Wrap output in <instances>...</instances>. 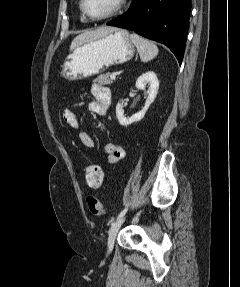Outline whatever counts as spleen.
I'll return each mask as SVG.
<instances>
[{
    "label": "spleen",
    "instance_id": "3e777b00",
    "mask_svg": "<svg viewBox=\"0 0 240 287\" xmlns=\"http://www.w3.org/2000/svg\"><path fill=\"white\" fill-rule=\"evenodd\" d=\"M130 39L136 46L142 62H148L157 56L158 47L154 42L149 41L136 33H132Z\"/></svg>",
    "mask_w": 240,
    "mask_h": 287
}]
</instances>
